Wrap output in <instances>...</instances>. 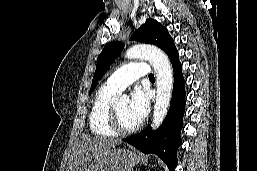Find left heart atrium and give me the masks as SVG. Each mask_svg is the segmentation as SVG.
<instances>
[{
	"label": "left heart atrium",
	"mask_w": 257,
	"mask_h": 171,
	"mask_svg": "<svg viewBox=\"0 0 257 171\" xmlns=\"http://www.w3.org/2000/svg\"><path fill=\"white\" fill-rule=\"evenodd\" d=\"M129 112L138 123H140L149 112L148 94L140 87H137L131 95Z\"/></svg>",
	"instance_id": "1"
}]
</instances>
